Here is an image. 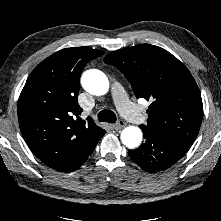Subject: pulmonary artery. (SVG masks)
<instances>
[{
	"mask_svg": "<svg viewBox=\"0 0 221 221\" xmlns=\"http://www.w3.org/2000/svg\"><path fill=\"white\" fill-rule=\"evenodd\" d=\"M112 96L121 114L132 121L133 123L140 124L145 120L144 115L141 113L127 97V94L123 87L119 83L112 85Z\"/></svg>",
	"mask_w": 221,
	"mask_h": 221,
	"instance_id": "e3ab8cb5",
	"label": "pulmonary artery"
}]
</instances>
